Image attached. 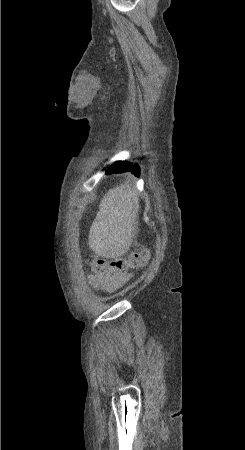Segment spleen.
<instances>
[{
    "label": "spleen",
    "instance_id": "1",
    "mask_svg": "<svg viewBox=\"0 0 245 450\" xmlns=\"http://www.w3.org/2000/svg\"><path fill=\"white\" fill-rule=\"evenodd\" d=\"M139 199L128 183L110 189L99 205L89 234V247L106 258L128 251L137 233Z\"/></svg>",
    "mask_w": 245,
    "mask_h": 450
}]
</instances>
